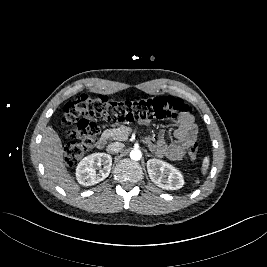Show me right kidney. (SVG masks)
<instances>
[{
  "label": "right kidney",
  "instance_id": "right-kidney-1",
  "mask_svg": "<svg viewBox=\"0 0 267 267\" xmlns=\"http://www.w3.org/2000/svg\"><path fill=\"white\" fill-rule=\"evenodd\" d=\"M111 166L112 157L109 154L94 153L88 155L79 162L76 168L77 181L83 186L95 185L108 177Z\"/></svg>",
  "mask_w": 267,
  "mask_h": 267
}]
</instances>
